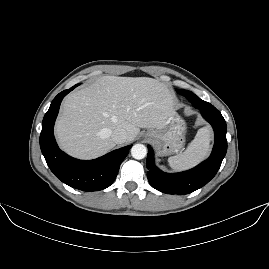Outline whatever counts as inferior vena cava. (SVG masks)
Segmentation results:
<instances>
[{
	"label": "inferior vena cava",
	"mask_w": 269,
	"mask_h": 269,
	"mask_svg": "<svg viewBox=\"0 0 269 269\" xmlns=\"http://www.w3.org/2000/svg\"><path fill=\"white\" fill-rule=\"evenodd\" d=\"M111 138L116 144H122L127 139V132L121 128L115 129L112 133Z\"/></svg>",
	"instance_id": "602c4592"
}]
</instances>
